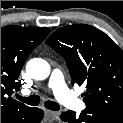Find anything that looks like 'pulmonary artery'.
<instances>
[{
	"instance_id": "e3ab8cb5",
	"label": "pulmonary artery",
	"mask_w": 123,
	"mask_h": 123,
	"mask_svg": "<svg viewBox=\"0 0 123 123\" xmlns=\"http://www.w3.org/2000/svg\"><path fill=\"white\" fill-rule=\"evenodd\" d=\"M49 87L56 99L62 104L76 110L83 108V103L67 88L64 76L60 70L56 69L51 72L49 77ZM26 94H29V91H26Z\"/></svg>"
}]
</instances>
